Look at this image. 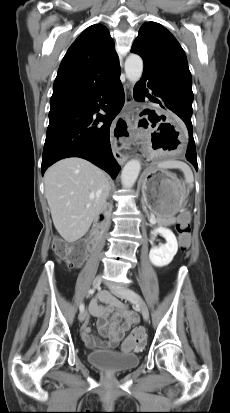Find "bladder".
<instances>
[{"mask_svg": "<svg viewBox=\"0 0 230 413\" xmlns=\"http://www.w3.org/2000/svg\"><path fill=\"white\" fill-rule=\"evenodd\" d=\"M88 361L110 374L131 370L139 365V356L134 353L95 350L88 354Z\"/></svg>", "mask_w": 230, "mask_h": 413, "instance_id": "obj_1", "label": "bladder"}]
</instances>
